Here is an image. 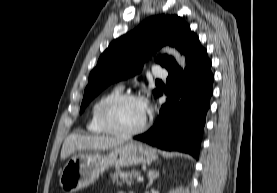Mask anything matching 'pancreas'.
Returning <instances> with one entry per match:
<instances>
[{"label":"pancreas","mask_w":277,"mask_h":193,"mask_svg":"<svg viewBox=\"0 0 277 193\" xmlns=\"http://www.w3.org/2000/svg\"><path fill=\"white\" fill-rule=\"evenodd\" d=\"M138 176H140V172L135 170L125 172L117 170L113 174H111L113 182L119 186H122L124 183L131 185L133 183L134 178Z\"/></svg>","instance_id":"cf45deb5"}]
</instances>
